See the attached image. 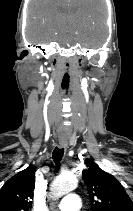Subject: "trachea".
<instances>
[{
    "mask_svg": "<svg viewBox=\"0 0 133 211\" xmlns=\"http://www.w3.org/2000/svg\"><path fill=\"white\" fill-rule=\"evenodd\" d=\"M64 154V149L63 148H58L56 147L52 153V158L54 162L57 164L61 161L62 157Z\"/></svg>",
    "mask_w": 133,
    "mask_h": 211,
    "instance_id": "obj_1",
    "label": "trachea"
}]
</instances>
